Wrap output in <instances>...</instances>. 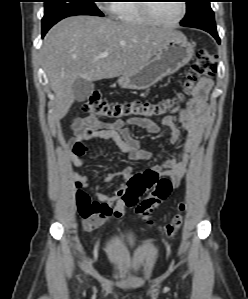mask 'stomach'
Masks as SVG:
<instances>
[{
  "mask_svg": "<svg viewBox=\"0 0 248 299\" xmlns=\"http://www.w3.org/2000/svg\"><path fill=\"white\" fill-rule=\"evenodd\" d=\"M193 54L194 46L185 36L174 37L144 67L134 73L122 75L118 84L126 89H147L186 65Z\"/></svg>",
  "mask_w": 248,
  "mask_h": 299,
  "instance_id": "0dacf381",
  "label": "stomach"
}]
</instances>
